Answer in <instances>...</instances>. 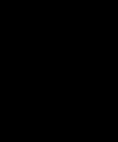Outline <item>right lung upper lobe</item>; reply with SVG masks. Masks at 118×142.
<instances>
[{"label": "right lung upper lobe", "instance_id": "right-lung-upper-lobe-1", "mask_svg": "<svg viewBox=\"0 0 118 142\" xmlns=\"http://www.w3.org/2000/svg\"><path fill=\"white\" fill-rule=\"evenodd\" d=\"M50 52L33 45H20L0 57V132L15 133L37 112L32 98L39 63Z\"/></svg>", "mask_w": 118, "mask_h": 142}]
</instances>
